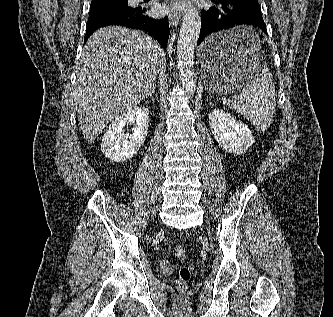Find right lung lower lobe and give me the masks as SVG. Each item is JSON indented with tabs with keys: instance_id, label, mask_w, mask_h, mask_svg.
<instances>
[{
	"instance_id": "right-lung-lower-lobe-1",
	"label": "right lung lower lobe",
	"mask_w": 333,
	"mask_h": 317,
	"mask_svg": "<svg viewBox=\"0 0 333 317\" xmlns=\"http://www.w3.org/2000/svg\"><path fill=\"white\" fill-rule=\"evenodd\" d=\"M143 7H103L90 10L86 23L85 41L98 28L125 26L147 32L166 49L169 36L168 18L153 19L145 15Z\"/></svg>"
}]
</instances>
